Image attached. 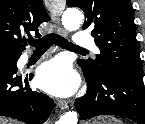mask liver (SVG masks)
Instances as JSON below:
<instances>
[{
    "label": "liver",
    "instance_id": "liver-1",
    "mask_svg": "<svg viewBox=\"0 0 145 124\" xmlns=\"http://www.w3.org/2000/svg\"><path fill=\"white\" fill-rule=\"evenodd\" d=\"M0 124H15V123H12L11 121L7 123V121H4L0 118Z\"/></svg>",
    "mask_w": 145,
    "mask_h": 124
}]
</instances>
